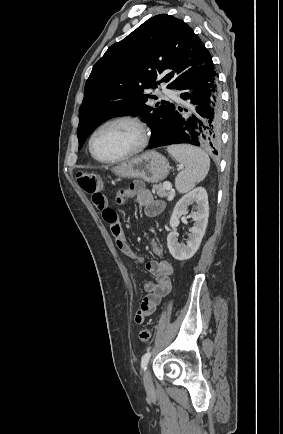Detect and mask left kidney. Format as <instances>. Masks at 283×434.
Instances as JSON below:
<instances>
[{
    "label": "left kidney",
    "instance_id": "1",
    "mask_svg": "<svg viewBox=\"0 0 283 434\" xmlns=\"http://www.w3.org/2000/svg\"><path fill=\"white\" fill-rule=\"evenodd\" d=\"M196 203V212L190 215L193 226L189 229L190 236L186 245L178 244V233L175 231L179 225V217L188 212V206L191 203ZM209 217L208 196L205 188L197 187L185 194L175 205L172 216L170 218V226L173 229L167 236V246L170 254L179 261L187 260L193 257L200 247L202 238Z\"/></svg>",
    "mask_w": 283,
    "mask_h": 434
}]
</instances>
